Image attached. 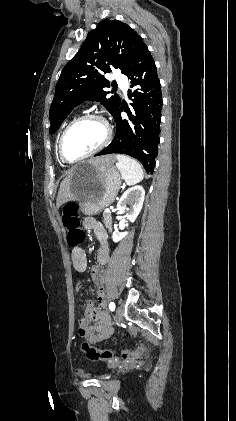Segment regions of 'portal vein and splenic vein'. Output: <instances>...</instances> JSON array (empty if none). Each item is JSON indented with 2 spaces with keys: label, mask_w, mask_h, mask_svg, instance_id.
<instances>
[{
  "label": "portal vein and splenic vein",
  "mask_w": 236,
  "mask_h": 421,
  "mask_svg": "<svg viewBox=\"0 0 236 421\" xmlns=\"http://www.w3.org/2000/svg\"><path fill=\"white\" fill-rule=\"evenodd\" d=\"M105 213H110V208H105Z\"/></svg>",
  "instance_id": "18ae733b"
}]
</instances>
